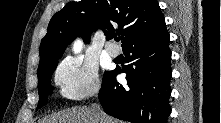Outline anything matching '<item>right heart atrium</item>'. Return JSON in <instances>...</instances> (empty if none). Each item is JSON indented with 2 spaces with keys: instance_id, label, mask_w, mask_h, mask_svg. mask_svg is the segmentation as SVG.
<instances>
[{
  "instance_id": "right-heart-atrium-1",
  "label": "right heart atrium",
  "mask_w": 221,
  "mask_h": 123,
  "mask_svg": "<svg viewBox=\"0 0 221 123\" xmlns=\"http://www.w3.org/2000/svg\"><path fill=\"white\" fill-rule=\"evenodd\" d=\"M54 82L60 94L73 102L88 99L100 90L96 65L80 57L62 60L55 70Z\"/></svg>"
}]
</instances>
